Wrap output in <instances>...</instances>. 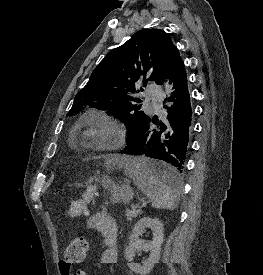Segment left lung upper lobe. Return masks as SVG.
<instances>
[{"label": "left lung upper lobe", "mask_w": 263, "mask_h": 275, "mask_svg": "<svg viewBox=\"0 0 263 275\" xmlns=\"http://www.w3.org/2000/svg\"><path fill=\"white\" fill-rule=\"evenodd\" d=\"M176 51L169 34L161 29L136 32L98 64L88 84L75 96L67 115H76L87 105L108 110L125 123L128 141L150 119L136 104L141 100L130 93L136 91L142 77L144 87L146 76H150L149 81L159 84Z\"/></svg>", "instance_id": "left-lung-upper-lobe-1"}]
</instances>
